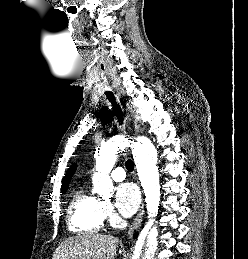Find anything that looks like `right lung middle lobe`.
Segmentation results:
<instances>
[{
    "label": "right lung middle lobe",
    "instance_id": "1",
    "mask_svg": "<svg viewBox=\"0 0 248 259\" xmlns=\"http://www.w3.org/2000/svg\"><path fill=\"white\" fill-rule=\"evenodd\" d=\"M66 192V190H61V193L64 194Z\"/></svg>",
    "mask_w": 248,
    "mask_h": 259
}]
</instances>
